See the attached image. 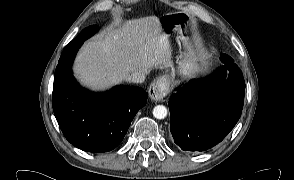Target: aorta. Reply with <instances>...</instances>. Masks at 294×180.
<instances>
[{
  "label": "aorta",
  "instance_id": "762f6f07",
  "mask_svg": "<svg viewBox=\"0 0 294 180\" xmlns=\"http://www.w3.org/2000/svg\"><path fill=\"white\" fill-rule=\"evenodd\" d=\"M153 116L156 119H164L167 116V108L163 105H157L153 109Z\"/></svg>",
  "mask_w": 294,
  "mask_h": 180
}]
</instances>
